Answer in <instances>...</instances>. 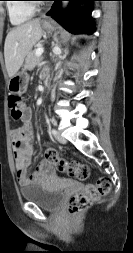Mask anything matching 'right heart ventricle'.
<instances>
[{
    "instance_id": "right-heart-ventricle-1",
    "label": "right heart ventricle",
    "mask_w": 133,
    "mask_h": 253,
    "mask_svg": "<svg viewBox=\"0 0 133 253\" xmlns=\"http://www.w3.org/2000/svg\"><path fill=\"white\" fill-rule=\"evenodd\" d=\"M9 20L13 25H21L31 19L35 9L23 0H11L7 3Z\"/></svg>"
}]
</instances>
